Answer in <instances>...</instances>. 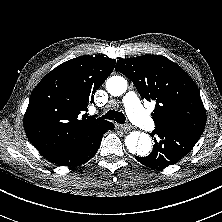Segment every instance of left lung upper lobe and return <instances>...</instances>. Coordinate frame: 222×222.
<instances>
[{
  "label": "left lung upper lobe",
  "instance_id": "left-lung-upper-lobe-1",
  "mask_svg": "<svg viewBox=\"0 0 222 222\" xmlns=\"http://www.w3.org/2000/svg\"><path fill=\"white\" fill-rule=\"evenodd\" d=\"M116 71L127 76L141 98L155 101L156 127H173L202 134L206 111L196 83L177 64L162 55L119 59Z\"/></svg>",
  "mask_w": 222,
  "mask_h": 222
}]
</instances>
